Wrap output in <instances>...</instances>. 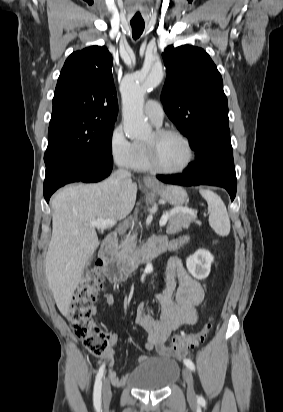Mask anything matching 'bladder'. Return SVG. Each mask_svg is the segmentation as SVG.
Here are the masks:
<instances>
[{
  "instance_id": "31cf9c89",
  "label": "bladder",
  "mask_w": 283,
  "mask_h": 412,
  "mask_svg": "<svg viewBox=\"0 0 283 412\" xmlns=\"http://www.w3.org/2000/svg\"><path fill=\"white\" fill-rule=\"evenodd\" d=\"M180 374V367L175 360L168 358L148 359L134 368L127 375L130 387L157 391L163 390L174 384Z\"/></svg>"
}]
</instances>
